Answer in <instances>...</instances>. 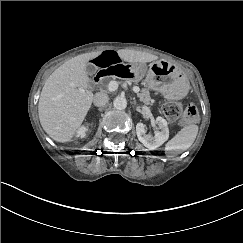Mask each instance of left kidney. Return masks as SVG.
I'll use <instances>...</instances> for the list:
<instances>
[{
	"instance_id": "5707ae66",
	"label": "left kidney",
	"mask_w": 243,
	"mask_h": 243,
	"mask_svg": "<svg viewBox=\"0 0 243 243\" xmlns=\"http://www.w3.org/2000/svg\"><path fill=\"white\" fill-rule=\"evenodd\" d=\"M158 131L154 136L146 134L145 125L142 122L136 124V135L138 140L149 150L159 149L169 137V130L167 127V121L162 117L156 118Z\"/></svg>"
}]
</instances>
